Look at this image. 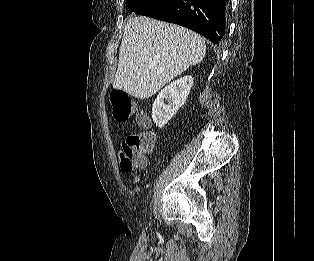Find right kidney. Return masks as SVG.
I'll return each mask as SVG.
<instances>
[{"label":"right kidney","instance_id":"right-kidney-1","mask_svg":"<svg viewBox=\"0 0 314 261\" xmlns=\"http://www.w3.org/2000/svg\"><path fill=\"white\" fill-rule=\"evenodd\" d=\"M192 86V76L186 75L160 91L152 106V119L156 126L164 127L177 113L179 108L185 104Z\"/></svg>","mask_w":314,"mask_h":261}]
</instances>
